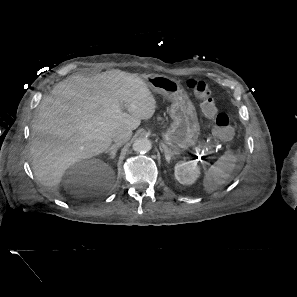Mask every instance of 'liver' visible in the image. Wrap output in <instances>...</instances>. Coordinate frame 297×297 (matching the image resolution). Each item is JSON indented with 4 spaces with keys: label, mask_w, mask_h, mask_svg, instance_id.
Returning a JSON list of instances; mask_svg holds the SVG:
<instances>
[{
    "label": "liver",
    "mask_w": 297,
    "mask_h": 297,
    "mask_svg": "<svg viewBox=\"0 0 297 297\" xmlns=\"http://www.w3.org/2000/svg\"><path fill=\"white\" fill-rule=\"evenodd\" d=\"M51 94L39 105L30 154L35 176L54 194L71 165L105 152L117 130L136 129L156 109L148 84L118 69L69 77Z\"/></svg>",
    "instance_id": "1"
}]
</instances>
